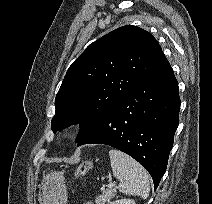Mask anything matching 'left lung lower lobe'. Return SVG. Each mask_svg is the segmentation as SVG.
<instances>
[{"label":"left lung lower lobe","instance_id":"left-lung-lower-lobe-1","mask_svg":"<svg viewBox=\"0 0 212 204\" xmlns=\"http://www.w3.org/2000/svg\"><path fill=\"white\" fill-rule=\"evenodd\" d=\"M179 109L177 80L165 59L112 106L77 146L101 143L127 153L151 174L156 189L167 167Z\"/></svg>","mask_w":212,"mask_h":204}]
</instances>
